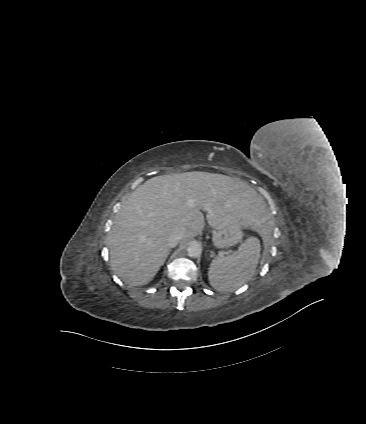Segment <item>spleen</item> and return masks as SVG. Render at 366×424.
Returning a JSON list of instances; mask_svg holds the SVG:
<instances>
[{"label":"spleen","mask_w":366,"mask_h":424,"mask_svg":"<svg viewBox=\"0 0 366 424\" xmlns=\"http://www.w3.org/2000/svg\"><path fill=\"white\" fill-rule=\"evenodd\" d=\"M260 251L259 239L249 237L236 252L212 260L208 271L210 285L222 292H232L244 285L255 273Z\"/></svg>","instance_id":"spleen-1"}]
</instances>
